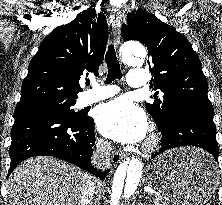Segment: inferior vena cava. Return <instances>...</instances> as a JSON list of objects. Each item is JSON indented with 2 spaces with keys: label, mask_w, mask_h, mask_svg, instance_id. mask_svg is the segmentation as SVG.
<instances>
[{
  "label": "inferior vena cava",
  "mask_w": 222,
  "mask_h": 205,
  "mask_svg": "<svg viewBox=\"0 0 222 205\" xmlns=\"http://www.w3.org/2000/svg\"><path fill=\"white\" fill-rule=\"evenodd\" d=\"M112 147L110 142L99 140L96 144V150L92 157V163L96 168L105 170L110 166V154ZM95 191V183L90 180L83 189L81 196V205H90Z\"/></svg>",
  "instance_id": "1"
}]
</instances>
